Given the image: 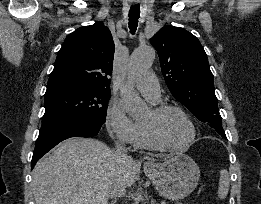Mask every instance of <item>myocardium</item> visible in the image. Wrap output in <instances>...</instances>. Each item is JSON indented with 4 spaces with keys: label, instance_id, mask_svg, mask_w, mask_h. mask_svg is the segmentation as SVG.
Masks as SVG:
<instances>
[{
    "label": "myocardium",
    "instance_id": "1",
    "mask_svg": "<svg viewBox=\"0 0 261 204\" xmlns=\"http://www.w3.org/2000/svg\"><path fill=\"white\" fill-rule=\"evenodd\" d=\"M168 111L179 112L186 119V121L190 126L191 135L189 139L182 145H171L167 143L166 141H164V139L161 137L158 131V126H157L158 121L161 118V116ZM142 124L152 143L155 146H157L159 149H163V150H169V151L185 150L191 146V144L194 142L197 135L196 126L190 114L184 108L176 104L161 103L152 106L150 109V119L147 121H142Z\"/></svg>",
    "mask_w": 261,
    "mask_h": 204
}]
</instances>
